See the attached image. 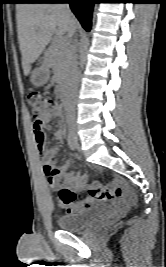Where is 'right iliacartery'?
<instances>
[{
	"mask_svg": "<svg viewBox=\"0 0 166 267\" xmlns=\"http://www.w3.org/2000/svg\"><path fill=\"white\" fill-rule=\"evenodd\" d=\"M68 145L70 147L71 150H74L76 148V142L75 140L73 139L72 135L69 133L68 134Z\"/></svg>",
	"mask_w": 166,
	"mask_h": 267,
	"instance_id": "1",
	"label": "right iliac artery"
}]
</instances>
